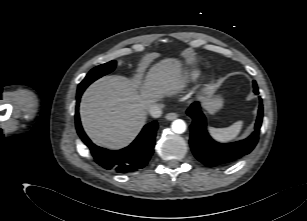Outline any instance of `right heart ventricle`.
Wrapping results in <instances>:
<instances>
[{"mask_svg":"<svg viewBox=\"0 0 307 221\" xmlns=\"http://www.w3.org/2000/svg\"><path fill=\"white\" fill-rule=\"evenodd\" d=\"M198 75H199V72H198V71H196V70H191V71H188V72L185 74L184 78H185V79H194V78L198 77Z\"/></svg>","mask_w":307,"mask_h":221,"instance_id":"obj_1","label":"right heart ventricle"}]
</instances>
